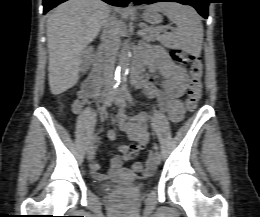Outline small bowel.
I'll return each instance as SVG.
<instances>
[{
	"label": "small bowel",
	"instance_id": "small-bowel-1",
	"mask_svg": "<svg viewBox=\"0 0 260 217\" xmlns=\"http://www.w3.org/2000/svg\"><path fill=\"white\" fill-rule=\"evenodd\" d=\"M137 65L141 68L147 67L148 72L136 83V87L158 107L165 111L172 122H179L183 117L181 99L187 89V71L185 68L174 64L161 49H152L139 59ZM160 77V81H157ZM98 93L86 95L80 93L73 103L72 110L78 114L88 97L95 98ZM150 116L146 112L140 113L136 118H128L124 109L117 113V121L120 128L127 133L134 144H120L116 147V154L111 158L108 173H115L122 169L128 160L136 158L141 150L149 143L147 123ZM111 141L116 139L113 130L108 131ZM92 171L96 178L104 179L97 163L92 164Z\"/></svg>",
	"mask_w": 260,
	"mask_h": 217
}]
</instances>
